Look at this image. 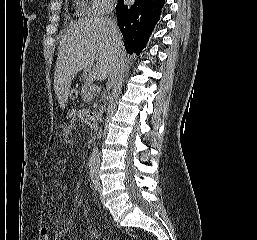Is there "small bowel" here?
Segmentation results:
<instances>
[{"label":"small bowel","instance_id":"small-bowel-1","mask_svg":"<svg viewBox=\"0 0 257 240\" xmlns=\"http://www.w3.org/2000/svg\"><path fill=\"white\" fill-rule=\"evenodd\" d=\"M72 227V220L69 218H66L62 221L61 226L57 230V237L55 240H60L62 237L66 236Z\"/></svg>","mask_w":257,"mask_h":240}]
</instances>
